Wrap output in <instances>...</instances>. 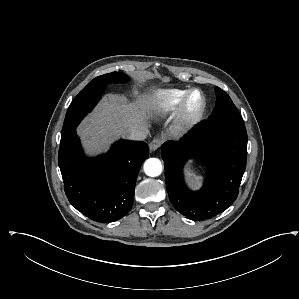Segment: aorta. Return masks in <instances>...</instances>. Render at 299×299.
Segmentation results:
<instances>
[{
	"label": "aorta",
	"mask_w": 299,
	"mask_h": 299,
	"mask_svg": "<svg viewBox=\"0 0 299 299\" xmlns=\"http://www.w3.org/2000/svg\"><path fill=\"white\" fill-rule=\"evenodd\" d=\"M144 171L146 175L151 177L159 176L162 172L161 161L157 158H150L144 163Z\"/></svg>",
	"instance_id": "aorta-1"
}]
</instances>
